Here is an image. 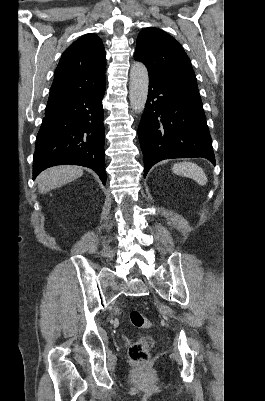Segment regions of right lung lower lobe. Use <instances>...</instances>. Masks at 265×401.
<instances>
[{
    "label": "right lung lower lobe",
    "mask_w": 265,
    "mask_h": 401,
    "mask_svg": "<svg viewBox=\"0 0 265 401\" xmlns=\"http://www.w3.org/2000/svg\"><path fill=\"white\" fill-rule=\"evenodd\" d=\"M105 88L47 104L36 138L33 178L48 167L73 164L93 169L105 185Z\"/></svg>",
    "instance_id": "1"
}]
</instances>
